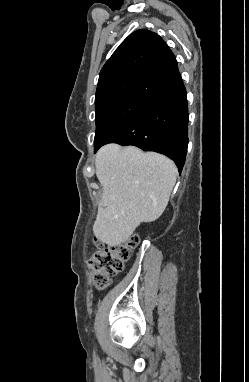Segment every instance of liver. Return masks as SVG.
Instances as JSON below:
<instances>
[{"instance_id":"obj_1","label":"liver","mask_w":249,"mask_h":382,"mask_svg":"<svg viewBox=\"0 0 249 382\" xmlns=\"http://www.w3.org/2000/svg\"><path fill=\"white\" fill-rule=\"evenodd\" d=\"M95 167L103 195L93 232L111 247L128 240L140 223L162 215L177 177L172 160L134 146H103Z\"/></svg>"}]
</instances>
